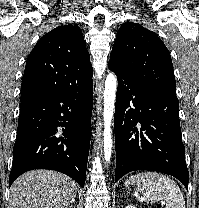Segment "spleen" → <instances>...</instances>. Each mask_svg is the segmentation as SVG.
<instances>
[{
    "mask_svg": "<svg viewBox=\"0 0 199 208\" xmlns=\"http://www.w3.org/2000/svg\"><path fill=\"white\" fill-rule=\"evenodd\" d=\"M137 183V192L142 193L140 202H150L151 205L161 201L166 208H186L185 200L178 185L169 177L156 172H142L130 176L125 181V187ZM138 197V194H135Z\"/></svg>",
    "mask_w": 199,
    "mask_h": 208,
    "instance_id": "3e777b00",
    "label": "spleen"
}]
</instances>
